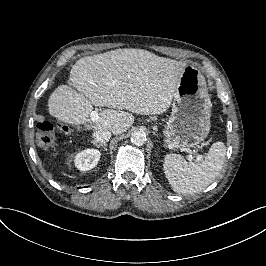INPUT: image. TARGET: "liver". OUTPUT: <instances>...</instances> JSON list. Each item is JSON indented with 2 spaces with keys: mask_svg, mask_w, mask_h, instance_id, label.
<instances>
[{
  "mask_svg": "<svg viewBox=\"0 0 266 266\" xmlns=\"http://www.w3.org/2000/svg\"><path fill=\"white\" fill-rule=\"evenodd\" d=\"M185 67L142 49L82 57L69 72L76 90L66 83L58 85L49 95L47 111L60 122L80 126L88 121L93 104L106 105L111 109H103L93 127L121 135L135 123L127 111L146 116L169 110Z\"/></svg>",
  "mask_w": 266,
  "mask_h": 266,
  "instance_id": "liver-1",
  "label": "liver"
}]
</instances>
